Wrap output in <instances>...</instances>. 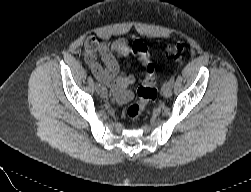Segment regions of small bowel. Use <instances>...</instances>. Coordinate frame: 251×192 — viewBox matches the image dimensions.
Wrapping results in <instances>:
<instances>
[{
  "mask_svg": "<svg viewBox=\"0 0 251 192\" xmlns=\"http://www.w3.org/2000/svg\"><path fill=\"white\" fill-rule=\"evenodd\" d=\"M84 56L95 78L109 87L119 103H126L132 98V92L127 88L136 79L133 75L121 73L118 58L135 56L144 66L151 64L144 42L136 40L130 45L124 38L107 45L89 37L84 45Z\"/></svg>",
  "mask_w": 251,
  "mask_h": 192,
  "instance_id": "1",
  "label": "small bowel"
}]
</instances>
